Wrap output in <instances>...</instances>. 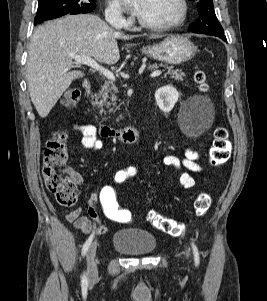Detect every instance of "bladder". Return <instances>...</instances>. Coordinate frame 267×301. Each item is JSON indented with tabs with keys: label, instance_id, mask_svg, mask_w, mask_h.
<instances>
[{
	"label": "bladder",
	"instance_id": "1",
	"mask_svg": "<svg viewBox=\"0 0 267 301\" xmlns=\"http://www.w3.org/2000/svg\"><path fill=\"white\" fill-rule=\"evenodd\" d=\"M114 249L130 256H143L156 250L155 236L142 229L123 228L115 232L112 238Z\"/></svg>",
	"mask_w": 267,
	"mask_h": 301
}]
</instances>
